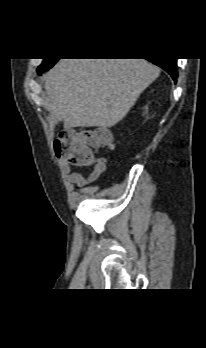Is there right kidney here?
<instances>
[{"label":"right kidney","instance_id":"obj_1","mask_svg":"<svg viewBox=\"0 0 206 348\" xmlns=\"http://www.w3.org/2000/svg\"><path fill=\"white\" fill-rule=\"evenodd\" d=\"M145 109H146V113H147V109H148V108L146 107Z\"/></svg>","mask_w":206,"mask_h":348}]
</instances>
